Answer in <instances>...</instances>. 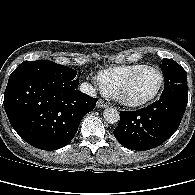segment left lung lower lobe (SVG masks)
Returning a JSON list of instances; mask_svg holds the SVG:
<instances>
[{
  "mask_svg": "<svg viewBox=\"0 0 195 195\" xmlns=\"http://www.w3.org/2000/svg\"><path fill=\"white\" fill-rule=\"evenodd\" d=\"M187 83L166 85L159 100L136 111H121L115 138L126 148L145 151L161 145L179 127L187 105Z\"/></svg>",
  "mask_w": 195,
  "mask_h": 195,
  "instance_id": "left-lung-lower-lobe-1",
  "label": "left lung lower lobe"
}]
</instances>
